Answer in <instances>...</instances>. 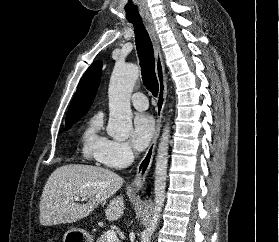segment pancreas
<instances>
[{
	"instance_id": "pancreas-1",
	"label": "pancreas",
	"mask_w": 279,
	"mask_h": 242,
	"mask_svg": "<svg viewBox=\"0 0 279 242\" xmlns=\"http://www.w3.org/2000/svg\"><path fill=\"white\" fill-rule=\"evenodd\" d=\"M96 242H107L106 233H103ZM114 242H120L119 239H116Z\"/></svg>"
}]
</instances>
